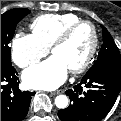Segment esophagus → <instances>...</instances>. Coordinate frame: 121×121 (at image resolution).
<instances>
[{
  "mask_svg": "<svg viewBox=\"0 0 121 121\" xmlns=\"http://www.w3.org/2000/svg\"><path fill=\"white\" fill-rule=\"evenodd\" d=\"M58 94H60V90L53 91V92L50 93V95H52V96H55V95H58Z\"/></svg>",
  "mask_w": 121,
  "mask_h": 121,
  "instance_id": "esophagus-1",
  "label": "esophagus"
}]
</instances>
